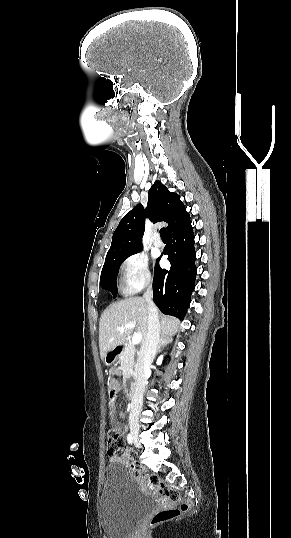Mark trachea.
Segmentation results:
<instances>
[{"label":"trachea","instance_id":"obj_1","mask_svg":"<svg viewBox=\"0 0 291 538\" xmlns=\"http://www.w3.org/2000/svg\"><path fill=\"white\" fill-rule=\"evenodd\" d=\"M160 236H161V239H166V229L165 228H161L160 229Z\"/></svg>","mask_w":291,"mask_h":538}]
</instances>
